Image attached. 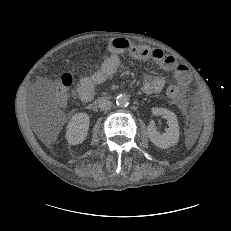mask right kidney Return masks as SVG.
I'll use <instances>...</instances> for the list:
<instances>
[{
    "mask_svg": "<svg viewBox=\"0 0 231 231\" xmlns=\"http://www.w3.org/2000/svg\"><path fill=\"white\" fill-rule=\"evenodd\" d=\"M89 115L84 112L76 113L67 125L66 139L69 144L77 145L82 143L88 134Z\"/></svg>",
    "mask_w": 231,
    "mask_h": 231,
    "instance_id": "ca27d5eb",
    "label": "right kidney"
}]
</instances>
